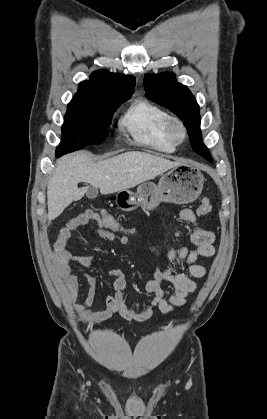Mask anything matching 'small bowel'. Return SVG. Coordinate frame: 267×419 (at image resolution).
<instances>
[{
    "label": "small bowel",
    "mask_w": 267,
    "mask_h": 419,
    "mask_svg": "<svg viewBox=\"0 0 267 419\" xmlns=\"http://www.w3.org/2000/svg\"><path fill=\"white\" fill-rule=\"evenodd\" d=\"M179 217L189 222L193 226L190 235L191 242L195 246L193 249L180 247L178 249L169 248L165 251L156 246H150L160 262L157 266L154 280L148 282L145 289L152 294L150 303L141 310H134L127 304V294L125 292L127 282L126 275L121 269H113L110 275L114 277L113 292L106 297V308L100 311L91 310L96 295V280L91 274H86L89 288L83 302H78L80 283L77 276L73 273V265L90 268L96 265L94 257L73 256L69 250V241L72 234L80 227L94 223L95 234L105 241H118L119 238L101 225L100 216L97 212L86 210L73 217L59 231L57 240L54 244L52 257L57 276L63 281L68 301L73 306L79 320L87 324H95L105 321L114 314H119L126 320L143 322L153 316L155 309L161 313L168 314L175 308L183 306L187 297L196 289L194 279L203 278L206 275V268L198 262L202 257H212L215 254L213 232L202 228L197 223V215L191 209H181ZM121 243V242H120ZM174 261L175 269L172 270L171 263ZM182 263L186 264V272L180 269ZM168 284L173 293L166 295L163 285Z\"/></svg>",
    "instance_id": "c3829d8e"
}]
</instances>
